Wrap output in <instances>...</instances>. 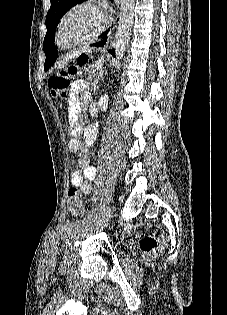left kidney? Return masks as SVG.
<instances>
[{"label": "left kidney", "mask_w": 227, "mask_h": 315, "mask_svg": "<svg viewBox=\"0 0 227 315\" xmlns=\"http://www.w3.org/2000/svg\"><path fill=\"white\" fill-rule=\"evenodd\" d=\"M108 101H109L108 95L107 94L102 95L99 99L98 107L102 111H106L108 107ZM97 135H98V130L95 126H87L84 129V139L88 146L94 143V141L97 138Z\"/></svg>", "instance_id": "obj_1"}]
</instances>
